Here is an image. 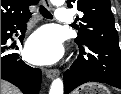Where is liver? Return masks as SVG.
Masks as SVG:
<instances>
[{
    "mask_svg": "<svg viewBox=\"0 0 121 94\" xmlns=\"http://www.w3.org/2000/svg\"><path fill=\"white\" fill-rule=\"evenodd\" d=\"M1 94H21V91L9 82L1 80Z\"/></svg>",
    "mask_w": 121,
    "mask_h": 94,
    "instance_id": "obj_1",
    "label": "liver"
}]
</instances>
